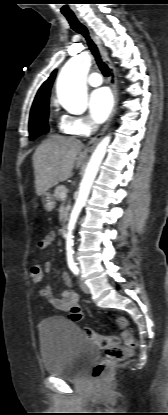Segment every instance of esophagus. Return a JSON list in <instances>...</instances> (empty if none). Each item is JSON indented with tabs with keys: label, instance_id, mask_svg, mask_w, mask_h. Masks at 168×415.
<instances>
[{
	"label": "esophagus",
	"instance_id": "esophagus-1",
	"mask_svg": "<svg viewBox=\"0 0 168 415\" xmlns=\"http://www.w3.org/2000/svg\"><path fill=\"white\" fill-rule=\"evenodd\" d=\"M81 22H83L81 20ZM84 23V22H83ZM86 25V24H85ZM86 27L89 30L90 35L92 36L95 44L98 47V50L103 58V60L108 64L109 67V72H110V86L112 88V92H113V96H114V106H113V110L112 113L108 119V121L106 122V124L104 125V127L102 128V130L99 132V134L94 137L87 145L86 150H93L95 148V146L97 145V143L99 142V140L101 139V137L104 135V133L106 132V130L108 129L114 114L116 112V108H117V103H118V92H117V78H116V71L114 66L112 65L109 57H108V53L105 49V47L103 46L101 39L99 36H97L95 34V32L86 25Z\"/></svg>",
	"mask_w": 168,
	"mask_h": 415
}]
</instances>
